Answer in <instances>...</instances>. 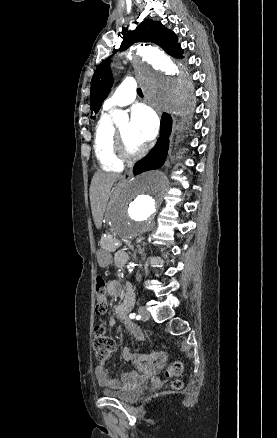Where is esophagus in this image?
<instances>
[{
	"mask_svg": "<svg viewBox=\"0 0 277 438\" xmlns=\"http://www.w3.org/2000/svg\"><path fill=\"white\" fill-rule=\"evenodd\" d=\"M133 176L132 172H129L125 175L124 179L131 178Z\"/></svg>",
	"mask_w": 277,
	"mask_h": 438,
	"instance_id": "34e87169",
	"label": "esophagus"
}]
</instances>
